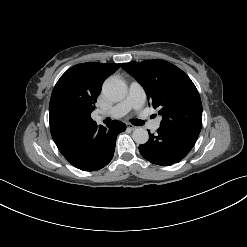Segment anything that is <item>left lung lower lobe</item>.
<instances>
[{
	"mask_svg": "<svg viewBox=\"0 0 247 247\" xmlns=\"http://www.w3.org/2000/svg\"><path fill=\"white\" fill-rule=\"evenodd\" d=\"M198 135L185 129L160 127L156 134H149L148 142L140 145L139 151L153 164L171 166L189 153Z\"/></svg>",
	"mask_w": 247,
	"mask_h": 247,
	"instance_id": "1",
	"label": "left lung lower lobe"
}]
</instances>
